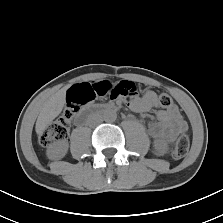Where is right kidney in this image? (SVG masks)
<instances>
[{"label": "right kidney", "instance_id": "ca27d5eb", "mask_svg": "<svg viewBox=\"0 0 223 223\" xmlns=\"http://www.w3.org/2000/svg\"><path fill=\"white\" fill-rule=\"evenodd\" d=\"M68 151V144L65 141H57L53 143L47 150V156L50 159L63 158Z\"/></svg>", "mask_w": 223, "mask_h": 223}]
</instances>
